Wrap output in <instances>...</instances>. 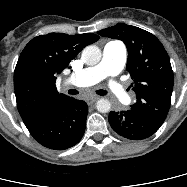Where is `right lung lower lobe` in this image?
Here are the masks:
<instances>
[{"label":"right lung lower lobe","mask_w":187,"mask_h":187,"mask_svg":"<svg viewBox=\"0 0 187 187\" xmlns=\"http://www.w3.org/2000/svg\"><path fill=\"white\" fill-rule=\"evenodd\" d=\"M87 104L69 97L30 126V134L41 145L64 150L77 144L85 131Z\"/></svg>","instance_id":"obj_1"}]
</instances>
